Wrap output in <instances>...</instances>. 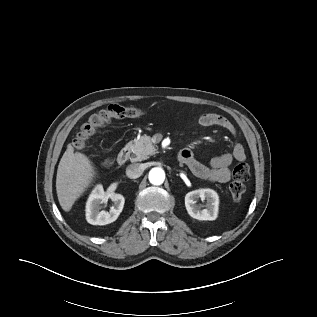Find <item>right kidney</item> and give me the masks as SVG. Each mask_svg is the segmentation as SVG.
Instances as JSON below:
<instances>
[{
    "instance_id": "1",
    "label": "right kidney",
    "mask_w": 317,
    "mask_h": 317,
    "mask_svg": "<svg viewBox=\"0 0 317 317\" xmlns=\"http://www.w3.org/2000/svg\"><path fill=\"white\" fill-rule=\"evenodd\" d=\"M114 204L109 212L100 211V204L108 199ZM124 196L117 193H106L102 185H97L92 190L86 203V219L92 225H106L114 222L123 210Z\"/></svg>"
}]
</instances>
